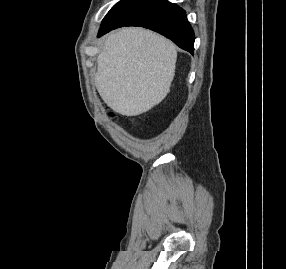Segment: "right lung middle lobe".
Instances as JSON below:
<instances>
[{
	"label": "right lung middle lobe",
	"instance_id": "obj_1",
	"mask_svg": "<svg viewBox=\"0 0 286 269\" xmlns=\"http://www.w3.org/2000/svg\"><path fill=\"white\" fill-rule=\"evenodd\" d=\"M161 1L162 0H120L104 17L99 31L122 27Z\"/></svg>",
	"mask_w": 286,
	"mask_h": 269
}]
</instances>
